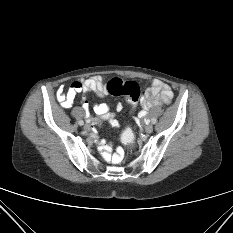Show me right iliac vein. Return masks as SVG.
<instances>
[{"mask_svg": "<svg viewBox=\"0 0 233 233\" xmlns=\"http://www.w3.org/2000/svg\"><path fill=\"white\" fill-rule=\"evenodd\" d=\"M83 128L86 131H90L91 130V126L89 124H85Z\"/></svg>", "mask_w": 233, "mask_h": 233, "instance_id": "1", "label": "right iliac vein"}]
</instances>
